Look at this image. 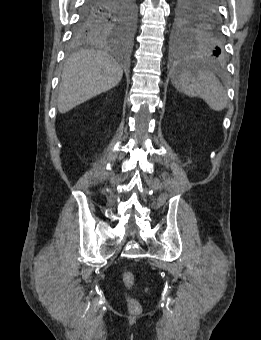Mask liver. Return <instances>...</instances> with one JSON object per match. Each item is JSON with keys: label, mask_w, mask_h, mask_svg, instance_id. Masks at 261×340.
Returning <instances> with one entry per match:
<instances>
[{"label": "liver", "mask_w": 261, "mask_h": 340, "mask_svg": "<svg viewBox=\"0 0 261 340\" xmlns=\"http://www.w3.org/2000/svg\"><path fill=\"white\" fill-rule=\"evenodd\" d=\"M123 70L115 59L102 50L83 49L66 62L57 100L60 113H66L103 92L115 87Z\"/></svg>", "instance_id": "liver-1"}]
</instances>
